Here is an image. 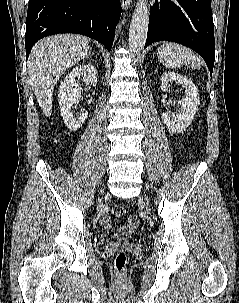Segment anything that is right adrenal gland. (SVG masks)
Returning a JSON list of instances; mask_svg holds the SVG:
<instances>
[{
  "mask_svg": "<svg viewBox=\"0 0 239 303\" xmlns=\"http://www.w3.org/2000/svg\"><path fill=\"white\" fill-rule=\"evenodd\" d=\"M89 55H93V52H92V48L90 47V50H89ZM88 58V56L86 57Z\"/></svg>",
  "mask_w": 239,
  "mask_h": 303,
  "instance_id": "obj_1",
  "label": "right adrenal gland"
}]
</instances>
